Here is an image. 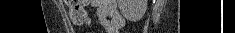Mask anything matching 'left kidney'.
<instances>
[{
    "mask_svg": "<svg viewBox=\"0 0 235 33\" xmlns=\"http://www.w3.org/2000/svg\"><path fill=\"white\" fill-rule=\"evenodd\" d=\"M148 0H118V7L124 17L130 21L142 19Z\"/></svg>",
    "mask_w": 235,
    "mask_h": 33,
    "instance_id": "1",
    "label": "left kidney"
}]
</instances>
